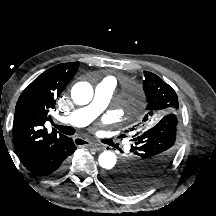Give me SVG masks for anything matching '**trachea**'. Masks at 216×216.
Returning a JSON list of instances; mask_svg holds the SVG:
<instances>
[{"mask_svg":"<svg viewBox=\"0 0 216 216\" xmlns=\"http://www.w3.org/2000/svg\"><path fill=\"white\" fill-rule=\"evenodd\" d=\"M55 128H57L60 132L66 134V135H73L75 133V129L69 126H59L54 125Z\"/></svg>","mask_w":216,"mask_h":216,"instance_id":"obj_1","label":"trachea"}]
</instances>
